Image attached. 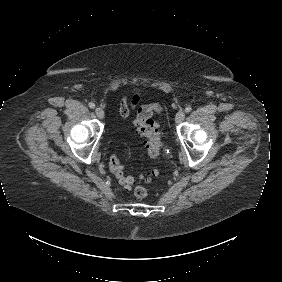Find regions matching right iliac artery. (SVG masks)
<instances>
[{
    "instance_id": "right-iliac-artery-1",
    "label": "right iliac artery",
    "mask_w": 282,
    "mask_h": 282,
    "mask_svg": "<svg viewBox=\"0 0 282 282\" xmlns=\"http://www.w3.org/2000/svg\"><path fill=\"white\" fill-rule=\"evenodd\" d=\"M89 107L93 109L95 107V104L93 102H90Z\"/></svg>"
}]
</instances>
